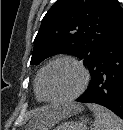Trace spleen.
Instances as JSON below:
<instances>
[{
	"label": "spleen",
	"instance_id": "1",
	"mask_svg": "<svg viewBox=\"0 0 123 130\" xmlns=\"http://www.w3.org/2000/svg\"><path fill=\"white\" fill-rule=\"evenodd\" d=\"M94 113L93 130H123V120L110 110L97 104H87Z\"/></svg>",
	"mask_w": 123,
	"mask_h": 130
}]
</instances>
